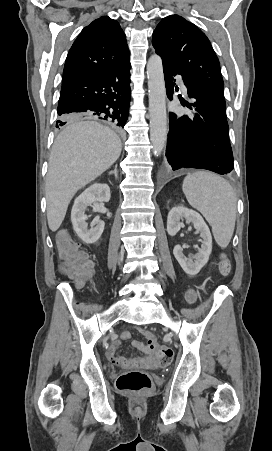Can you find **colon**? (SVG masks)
I'll use <instances>...</instances> for the list:
<instances>
[{"label": "colon", "mask_w": 272, "mask_h": 451, "mask_svg": "<svg viewBox=\"0 0 272 451\" xmlns=\"http://www.w3.org/2000/svg\"><path fill=\"white\" fill-rule=\"evenodd\" d=\"M57 245L60 249L59 271H66L68 278H71L72 283L77 287H82L86 278L91 277V264L87 262V251H82L81 247H77V242L72 240L71 235L61 232L56 237ZM219 270L222 274H229L231 265L229 261L222 256L219 263ZM81 303L87 300L84 294L78 297ZM147 351H152L156 354L155 364L158 367L168 364L173 358V351L167 350L166 345H157L156 342H147L145 345ZM112 367H127L128 359L123 357H115L111 359ZM151 387V379L149 375L142 370H128L120 374L116 381V388L120 391L138 393L148 390Z\"/></svg>", "instance_id": "1"}]
</instances>
